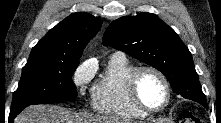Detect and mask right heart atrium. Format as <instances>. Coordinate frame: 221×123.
Instances as JSON below:
<instances>
[{"label": "right heart atrium", "instance_id": "obj_1", "mask_svg": "<svg viewBox=\"0 0 221 123\" xmlns=\"http://www.w3.org/2000/svg\"><path fill=\"white\" fill-rule=\"evenodd\" d=\"M92 75V69L86 64H81L73 74V82L78 87H84L90 82Z\"/></svg>", "mask_w": 221, "mask_h": 123}]
</instances>
